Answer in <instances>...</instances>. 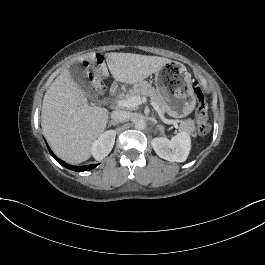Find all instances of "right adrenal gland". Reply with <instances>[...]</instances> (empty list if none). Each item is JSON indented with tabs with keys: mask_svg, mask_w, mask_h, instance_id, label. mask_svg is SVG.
<instances>
[{
	"mask_svg": "<svg viewBox=\"0 0 265 265\" xmlns=\"http://www.w3.org/2000/svg\"><path fill=\"white\" fill-rule=\"evenodd\" d=\"M119 123L118 122H114V121H111L108 125V128L112 127V126H116L118 125Z\"/></svg>",
	"mask_w": 265,
	"mask_h": 265,
	"instance_id": "obj_1",
	"label": "right adrenal gland"
}]
</instances>
